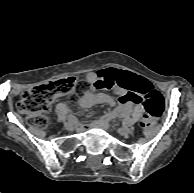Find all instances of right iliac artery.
<instances>
[{"mask_svg":"<svg viewBox=\"0 0 194 193\" xmlns=\"http://www.w3.org/2000/svg\"><path fill=\"white\" fill-rule=\"evenodd\" d=\"M68 120H69V121H74V122H76V121H77V118H76V116H74V115H69V116H68Z\"/></svg>","mask_w":194,"mask_h":193,"instance_id":"right-iliac-artery-1","label":"right iliac artery"}]
</instances>
